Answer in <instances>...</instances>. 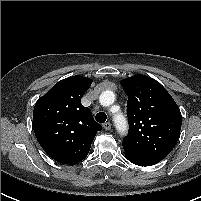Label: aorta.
Wrapping results in <instances>:
<instances>
[{
	"instance_id": "obj_1",
	"label": "aorta",
	"mask_w": 201,
	"mask_h": 201,
	"mask_svg": "<svg viewBox=\"0 0 201 201\" xmlns=\"http://www.w3.org/2000/svg\"><path fill=\"white\" fill-rule=\"evenodd\" d=\"M115 99V95L112 91H104L101 95H100V101L102 104H109L111 102H113ZM114 123L117 127V129L122 132L124 131V129H126V119L123 115H116L114 117Z\"/></svg>"
}]
</instances>
